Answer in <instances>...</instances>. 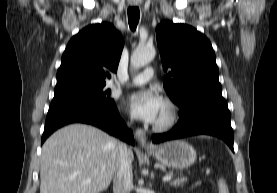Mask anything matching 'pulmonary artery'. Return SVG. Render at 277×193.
I'll return each mask as SVG.
<instances>
[{"instance_id": "pulmonary-artery-1", "label": "pulmonary artery", "mask_w": 277, "mask_h": 193, "mask_svg": "<svg viewBox=\"0 0 277 193\" xmlns=\"http://www.w3.org/2000/svg\"><path fill=\"white\" fill-rule=\"evenodd\" d=\"M154 75V70L151 67L146 68L142 73L134 76L130 80V84L133 85H142L152 79Z\"/></svg>"}]
</instances>
